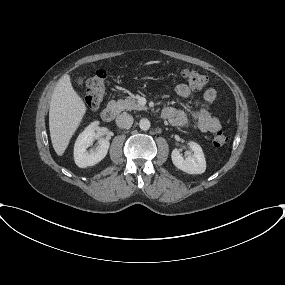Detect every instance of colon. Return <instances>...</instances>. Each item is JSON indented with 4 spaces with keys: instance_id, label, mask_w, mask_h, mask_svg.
Segmentation results:
<instances>
[{
    "instance_id": "5ec220e1",
    "label": "colon",
    "mask_w": 285,
    "mask_h": 285,
    "mask_svg": "<svg viewBox=\"0 0 285 285\" xmlns=\"http://www.w3.org/2000/svg\"><path fill=\"white\" fill-rule=\"evenodd\" d=\"M179 74L190 84V86L196 89L203 88L210 83L208 76L196 71L182 69L180 70ZM106 78V71L100 69L95 71L87 80L84 99L86 104L92 109L98 108L104 99ZM227 141V136L222 131H219L213 138V145L215 147H222L227 143Z\"/></svg>"
}]
</instances>
